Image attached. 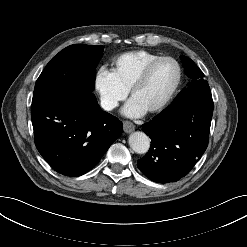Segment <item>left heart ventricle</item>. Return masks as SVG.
Returning a JSON list of instances; mask_svg holds the SVG:
<instances>
[{
	"label": "left heart ventricle",
	"mask_w": 247,
	"mask_h": 247,
	"mask_svg": "<svg viewBox=\"0 0 247 247\" xmlns=\"http://www.w3.org/2000/svg\"><path fill=\"white\" fill-rule=\"evenodd\" d=\"M176 76L174 63L161 61L153 68L147 81L132 98L148 110L166 97L175 83Z\"/></svg>",
	"instance_id": "1"
}]
</instances>
